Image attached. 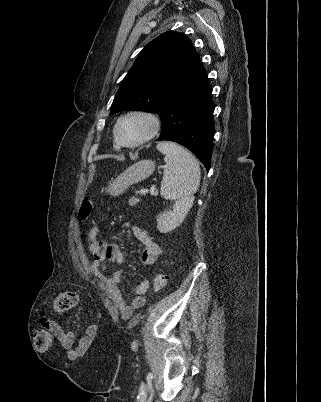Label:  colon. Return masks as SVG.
<instances>
[{
    "label": "colon",
    "mask_w": 321,
    "mask_h": 402,
    "mask_svg": "<svg viewBox=\"0 0 321 402\" xmlns=\"http://www.w3.org/2000/svg\"><path fill=\"white\" fill-rule=\"evenodd\" d=\"M94 207V201L91 198H85L81 202L78 219L79 221L86 220L92 212ZM167 283V278L164 274L158 273L155 275L153 280V285L156 291H161L165 288ZM78 303V295L75 291H63L54 300L53 307L57 313H66L71 311L76 307ZM52 335L51 333L44 329L39 328L34 335V342L36 348L39 350H48L52 345Z\"/></svg>",
    "instance_id": "5ec220e1"
}]
</instances>
